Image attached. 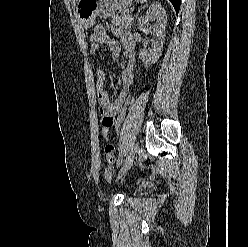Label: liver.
Segmentation results:
<instances>
[{
    "label": "liver",
    "mask_w": 248,
    "mask_h": 247,
    "mask_svg": "<svg viewBox=\"0 0 248 247\" xmlns=\"http://www.w3.org/2000/svg\"><path fill=\"white\" fill-rule=\"evenodd\" d=\"M76 1H78V0H73V3H75Z\"/></svg>",
    "instance_id": "1"
}]
</instances>
